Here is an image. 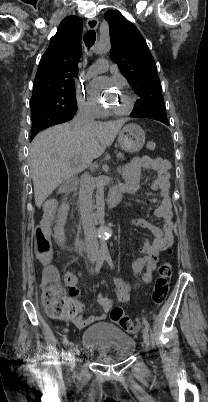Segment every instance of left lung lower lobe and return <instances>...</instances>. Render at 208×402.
Listing matches in <instances>:
<instances>
[{"label": "left lung lower lobe", "mask_w": 208, "mask_h": 402, "mask_svg": "<svg viewBox=\"0 0 208 402\" xmlns=\"http://www.w3.org/2000/svg\"><path fill=\"white\" fill-rule=\"evenodd\" d=\"M131 117H133V116H131ZM134 118H137V117H134ZM164 124L169 125L168 122H166V123H164Z\"/></svg>", "instance_id": "0a47b994"}]
</instances>
